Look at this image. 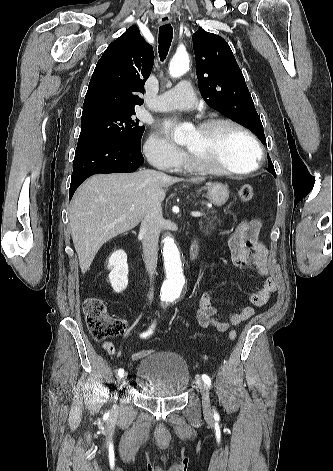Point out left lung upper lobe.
<instances>
[{"label": "left lung upper lobe", "mask_w": 333, "mask_h": 471, "mask_svg": "<svg viewBox=\"0 0 333 471\" xmlns=\"http://www.w3.org/2000/svg\"><path fill=\"white\" fill-rule=\"evenodd\" d=\"M198 86L205 102L252 131L266 145L263 125L256 112L244 76L228 43L199 29L193 34ZM275 169L268 156V168Z\"/></svg>", "instance_id": "obj_1"}]
</instances>
